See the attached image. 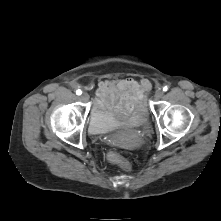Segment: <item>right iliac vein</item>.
Here are the masks:
<instances>
[{
  "label": "right iliac vein",
  "instance_id": "63e3f726",
  "mask_svg": "<svg viewBox=\"0 0 221 221\" xmlns=\"http://www.w3.org/2000/svg\"><path fill=\"white\" fill-rule=\"evenodd\" d=\"M81 99L84 101V102H87L89 100V95L88 93L84 92L82 95H81Z\"/></svg>",
  "mask_w": 221,
  "mask_h": 221
}]
</instances>
